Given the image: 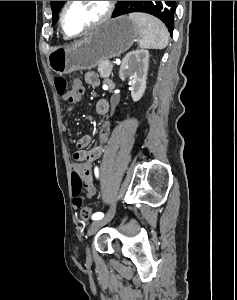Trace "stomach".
<instances>
[{
  "mask_svg": "<svg viewBox=\"0 0 237 300\" xmlns=\"http://www.w3.org/2000/svg\"><path fill=\"white\" fill-rule=\"evenodd\" d=\"M139 35L136 23L129 17H117L101 23L71 47H54L48 53L50 69L58 75L94 69L101 61L118 57L132 47Z\"/></svg>",
  "mask_w": 237,
  "mask_h": 300,
  "instance_id": "1",
  "label": "stomach"
}]
</instances>
